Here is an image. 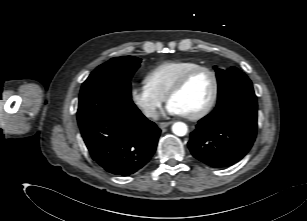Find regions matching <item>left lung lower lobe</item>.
<instances>
[{
  "mask_svg": "<svg viewBox=\"0 0 307 221\" xmlns=\"http://www.w3.org/2000/svg\"><path fill=\"white\" fill-rule=\"evenodd\" d=\"M256 132V96H238L198 122L188 147L196 159L211 167H229L248 153Z\"/></svg>",
  "mask_w": 307,
  "mask_h": 221,
  "instance_id": "obj_1",
  "label": "left lung lower lobe"
}]
</instances>
